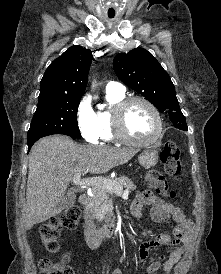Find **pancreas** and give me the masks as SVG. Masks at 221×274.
Segmentation results:
<instances>
[{
	"label": "pancreas",
	"instance_id": "pancreas-1",
	"mask_svg": "<svg viewBox=\"0 0 221 274\" xmlns=\"http://www.w3.org/2000/svg\"><path fill=\"white\" fill-rule=\"evenodd\" d=\"M106 180L109 185L114 184L122 189L123 187L127 190L136 189V185L125 176H121L114 180ZM92 193L93 197H90L89 204L86 206V212L98 221L106 219V215H108L113 209L112 195L114 192L106 188L104 185H101L100 187H94Z\"/></svg>",
	"mask_w": 221,
	"mask_h": 274
}]
</instances>
